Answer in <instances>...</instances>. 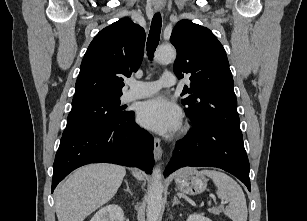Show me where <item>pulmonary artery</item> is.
<instances>
[{"label": "pulmonary artery", "instance_id": "obj_1", "mask_svg": "<svg viewBox=\"0 0 307 221\" xmlns=\"http://www.w3.org/2000/svg\"><path fill=\"white\" fill-rule=\"evenodd\" d=\"M129 90L124 93L123 100L128 102L135 99L151 96L158 92L162 87H170L175 85L174 75L170 72L163 73L158 81L139 82L129 80Z\"/></svg>", "mask_w": 307, "mask_h": 221}]
</instances>
